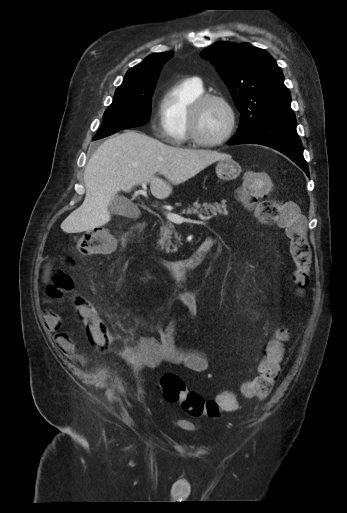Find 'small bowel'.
Here are the masks:
<instances>
[{"instance_id":"c3829d8e","label":"small bowel","mask_w":347,"mask_h":513,"mask_svg":"<svg viewBox=\"0 0 347 513\" xmlns=\"http://www.w3.org/2000/svg\"><path fill=\"white\" fill-rule=\"evenodd\" d=\"M175 301L182 305L184 312L166 328L156 327L157 338L142 336L135 345L126 346L117 351V357L134 372H139L143 368H155L164 362L182 365L197 373L205 372L208 369L209 361L203 352L195 349H182L175 343L180 325L191 320L196 314L195 297L190 292H181L175 297ZM45 323L50 329L57 330L60 320L55 314L50 313L46 316ZM55 344L65 355L75 356L77 354L74 342L65 333L55 335Z\"/></svg>"}]
</instances>
